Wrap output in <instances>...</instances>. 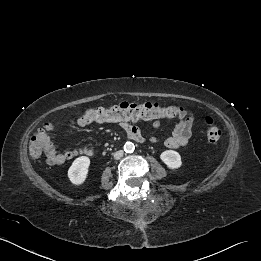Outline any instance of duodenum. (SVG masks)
<instances>
[{
	"label": "duodenum",
	"instance_id": "duodenum-1",
	"mask_svg": "<svg viewBox=\"0 0 261 261\" xmlns=\"http://www.w3.org/2000/svg\"><path fill=\"white\" fill-rule=\"evenodd\" d=\"M131 140H134L139 143L145 142L144 137L141 135V133H133L130 137Z\"/></svg>",
	"mask_w": 261,
	"mask_h": 261
}]
</instances>
